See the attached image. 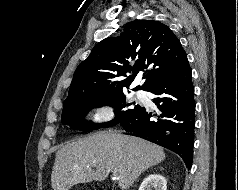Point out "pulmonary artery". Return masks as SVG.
Here are the masks:
<instances>
[{"mask_svg": "<svg viewBox=\"0 0 238 190\" xmlns=\"http://www.w3.org/2000/svg\"><path fill=\"white\" fill-rule=\"evenodd\" d=\"M136 95H137V96H141L142 94H141L140 92H137Z\"/></svg>", "mask_w": 238, "mask_h": 190, "instance_id": "1", "label": "pulmonary artery"}]
</instances>
